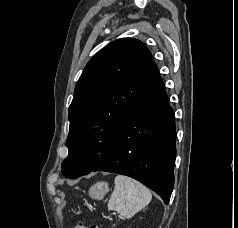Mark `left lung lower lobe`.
I'll list each match as a JSON object with an SVG mask.
<instances>
[{
    "label": "left lung lower lobe",
    "mask_w": 238,
    "mask_h": 228,
    "mask_svg": "<svg viewBox=\"0 0 238 228\" xmlns=\"http://www.w3.org/2000/svg\"><path fill=\"white\" fill-rule=\"evenodd\" d=\"M176 157L175 116L155 65L132 112L121 127L114 151L93 171L132 177L169 203Z\"/></svg>",
    "instance_id": "obj_1"
}]
</instances>
